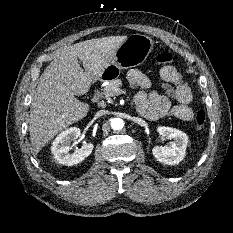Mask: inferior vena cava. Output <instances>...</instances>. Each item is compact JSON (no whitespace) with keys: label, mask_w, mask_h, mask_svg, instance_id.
I'll return each instance as SVG.
<instances>
[{"label":"inferior vena cava","mask_w":233,"mask_h":233,"mask_svg":"<svg viewBox=\"0 0 233 233\" xmlns=\"http://www.w3.org/2000/svg\"><path fill=\"white\" fill-rule=\"evenodd\" d=\"M105 113H106L105 110H100V111L97 112V116H102V115H104Z\"/></svg>","instance_id":"obj_1"}]
</instances>
